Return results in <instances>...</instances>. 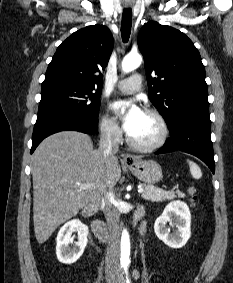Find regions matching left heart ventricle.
<instances>
[{
  "instance_id": "left-heart-ventricle-1",
  "label": "left heart ventricle",
  "mask_w": 233,
  "mask_h": 283,
  "mask_svg": "<svg viewBox=\"0 0 233 283\" xmlns=\"http://www.w3.org/2000/svg\"><path fill=\"white\" fill-rule=\"evenodd\" d=\"M129 135L138 143L152 144L155 143L161 135V127L158 120L143 112L136 121Z\"/></svg>"
}]
</instances>
